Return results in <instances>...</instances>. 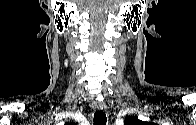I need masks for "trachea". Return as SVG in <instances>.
<instances>
[{
  "mask_svg": "<svg viewBox=\"0 0 196 125\" xmlns=\"http://www.w3.org/2000/svg\"><path fill=\"white\" fill-rule=\"evenodd\" d=\"M93 121L94 125H106V114L103 111H96Z\"/></svg>",
  "mask_w": 196,
  "mask_h": 125,
  "instance_id": "obj_1",
  "label": "trachea"
}]
</instances>
